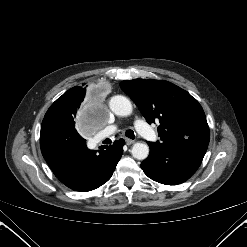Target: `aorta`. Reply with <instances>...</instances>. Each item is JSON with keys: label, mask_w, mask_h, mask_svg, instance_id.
<instances>
[{"label": "aorta", "mask_w": 247, "mask_h": 247, "mask_svg": "<svg viewBox=\"0 0 247 247\" xmlns=\"http://www.w3.org/2000/svg\"><path fill=\"white\" fill-rule=\"evenodd\" d=\"M109 107L118 116H129L132 113V104L128 98L122 95L113 96ZM132 156L137 160H144L149 155V146L146 143L137 142L131 149Z\"/></svg>", "instance_id": "aorta-1"}]
</instances>
